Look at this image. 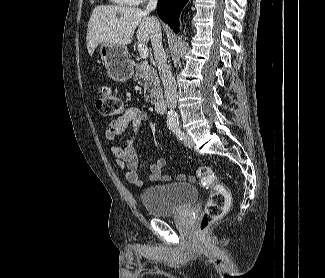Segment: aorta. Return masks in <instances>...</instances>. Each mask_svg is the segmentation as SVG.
<instances>
[{
	"instance_id": "1",
	"label": "aorta",
	"mask_w": 325,
	"mask_h": 278,
	"mask_svg": "<svg viewBox=\"0 0 325 278\" xmlns=\"http://www.w3.org/2000/svg\"><path fill=\"white\" fill-rule=\"evenodd\" d=\"M177 115L174 111H170L167 116L168 121H176Z\"/></svg>"
}]
</instances>
